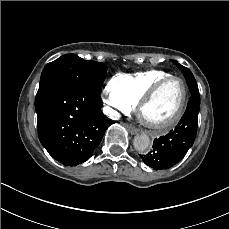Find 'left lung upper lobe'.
I'll return each instance as SVG.
<instances>
[{
	"label": "left lung upper lobe",
	"mask_w": 229,
	"mask_h": 229,
	"mask_svg": "<svg viewBox=\"0 0 229 229\" xmlns=\"http://www.w3.org/2000/svg\"><path fill=\"white\" fill-rule=\"evenodd\" d=\"M172 62L182 71V73H183V75H185V74H187V73H190L191 71L188 69V68H186V67H184V66H182L181 64H179L177 61H175V60H172Z\"/></svg>",
	"instance_id": "5c2ea615"
}]
</instances>
